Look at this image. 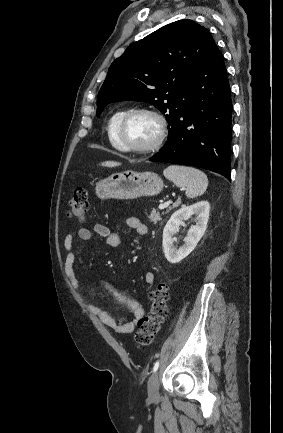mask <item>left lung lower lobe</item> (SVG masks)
<instances>
[{
    "mask_svg": "<svg viewBox=\"0 0 283 433\" xmlns=\"http://www.w3.org/2000/svg\"><path fill=\"white\" fill-rule=\"evenodd\" d=\"M232 102L224 59L215 45L189 87V106L170 124L168 140L149 160L217 172L231 180Z\"/></svg>",
    "mask_w": 283,
    "mask_h": 433,
    "instance_id": "0a47b994",
    "label": "left lung lower lobe"
}]
</instances>
